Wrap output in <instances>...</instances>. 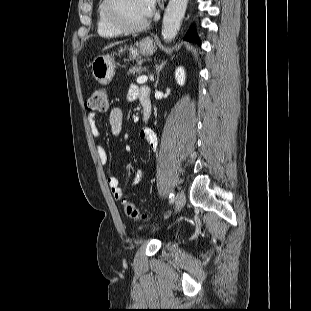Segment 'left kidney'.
<instances>
[{"label": "left kidney", "instance_id": "1", "mask_svg": "<svg viewBox=\"0 0 311 311\" xmlns=\"http://www.w3.org/2000/svg\"><path fill=\"white\" fill-rule=\"evenodd\" d=\"M185 78H186V75H185L184 68L178 67L175 70V79L180 86H183L185 84Z\"/></svg>", "mask_w": 311, "mask_h": 311}]
</instances>
